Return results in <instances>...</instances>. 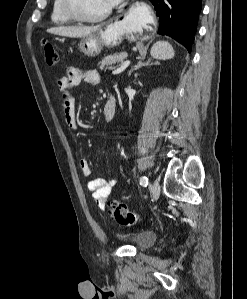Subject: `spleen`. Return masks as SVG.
<instances>
[{"mask_svg": "<svg viewBox=\"0 0 247 299\" xmlns=\"http://www.w3.org/2000/svg\"><path fill=\"white\" fill-rule=\"evenodd\" d=\"M151 56L158 60H168L174 57V49L167 41H157L151 48Z\"/></svg>", "mask_w": 247, "mask_h": 299, "instance_id": "3e777b00", "label": "spleen"}]
</instances>
